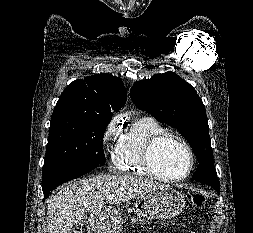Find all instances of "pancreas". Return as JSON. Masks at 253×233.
<instances>
[{"instance_id":"obj_1","label":"pancreas","mask_w":253,"mask_h":233,"mask_svg":"<svg viewBox=\"0 0 253 233\" xmlns=\"http://www.w3.org/2000/svg\"><path fill=\"white\" fill-rule=\"evenodd\" d=\"M133 221H136L135 218H132ZM139 221L142 222L143 220L139 217Z\"/></svg>"}]
</instances>
